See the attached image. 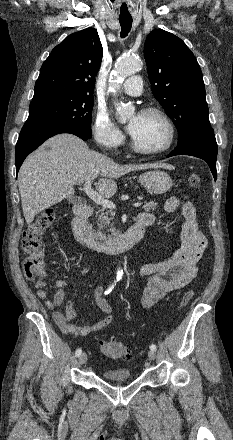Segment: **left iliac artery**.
<instances>
[{
  "instance_id": "44dca946",
  "label": "left iliac artery",
  "mask_w": 233,
  "mask_h": 440,
  "mask_svg": "<svg viewBox=\"0 0 233 440\" xmlns=\"http://www.w3.org/2000/svg\"><path fill=\"white\" fill-rule=\"evenodd\" d=\"M150 349L156 351L157 346H156L155 344H151V345H150Z\"/></svg>"
}]
</instances>
